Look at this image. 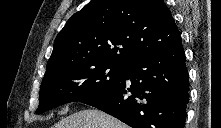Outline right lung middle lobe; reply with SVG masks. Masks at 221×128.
Returning a JSON list of instances; mask_svg holds the SVG:
<instances>
[{
	"instance_id": "right-lung-middle-lobe-1",
	"label": "right lung middle lobe",
	"mask_w": 221,
	"mask_h": 128,
	"mask_svg": "<svg viewBox=\"0 0 221 128\" xmlns=\"http://www.w3.org/2000/svg\"><path fill=\"white\" fill-rule=\"evenodd\" d=\"M126 70L125 65L90 62H74L57 67L45 73L36 113L101 94L119 83Z\"/></svg>"
}]
</instances>
